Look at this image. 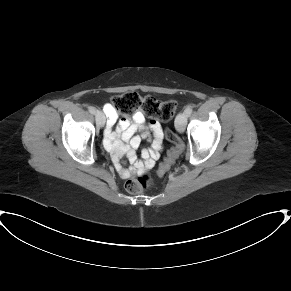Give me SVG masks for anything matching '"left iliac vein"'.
<instances>
[{
	"label": "left iliac vein",
	"instance_id": "1",
	"mask_svg": "<svg viewBox=\"0 0 291 291\" xmlns=\"http://www.w3.org/2000/svg\"><path fill=\"white\" fill-rule=\"evenodd\" d=\"M187 114L180 112L175 118V128L179 133H183L187 123Z\"/></svg>",
	"mask_w": 291,
	"mask_h": 291
}]
</instances>
